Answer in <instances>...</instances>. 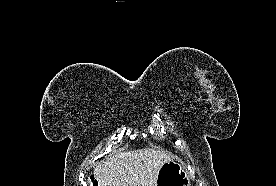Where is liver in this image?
<instances>
[{
	"label": "liver",
	"instance_id": "1",
	"mask_svg": "<svg viewBox=\"0 0 276 186\" xmlns=\"http://www.w3.org/2000/svg\"><path fill=\"white\" fill-rule=\"evenodd\" d=\"M171 160L165 151L144 148L118 152L94 168L99 186H156L160 167Z\"/></svg>",
	"mask_w": 276,
	"mask_h": 186
}]
</instances>
